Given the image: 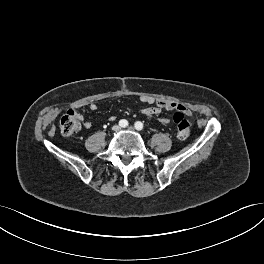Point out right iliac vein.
Wrapping results in <instances>:
<instances>
[{
	"mask_svg": "<svg viewBox=\"0 0 264 264\" xmlns=\"http://www.w3.org/2000/svg\"><path fill=\"white\" fill-rule=\"evenodd\" d=\"M112 130H113V131H119V130H120V126H118V125H114V126L112 127Z\"/></svg>",
	"mask_w": 264,
	"mask_h": 264,
	"instance_id": "1",
	"label": "right iliac vein"
}]
</instances>
